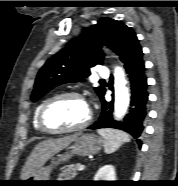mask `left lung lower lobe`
<instances>
[{"mask_svg":"<svg viewBox=\"0 0 178 186\" xmlns=\"http://www.w3.org/2000/svg\"><path fill=\"white\" fill-rule=\"evenodd\" d=\"M126 73L131 84V103L128 113L125 117L116 121L113 119V101L107 102L104 96L101 99V115L89 129L116 128L128 132L137 139L141 147L142 143L139 137L144 129V120L147 115V77L145 75V64L143 53L131 60L125 66Z\"/></svg>","mask_w":178,"mask_h":186,"instance_id":"1","label":"left lung lower lobe"}]
</instances>
